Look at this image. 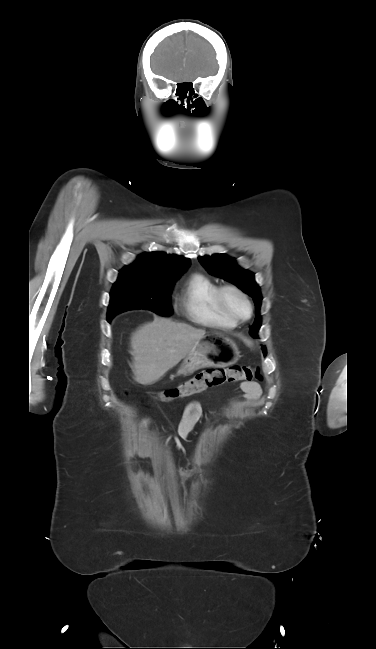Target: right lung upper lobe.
Listing matches in <instances>:
<instances>
[{"label": "right lung upper lobe", "mask_w": 376, "mask_h": 649, "mask_svg": "<svg viewBox=\"0 0 376 649\" xmlns=\"http://www.w3.org/2000/svg\"><path fill=\"white\" fill-rule=\"evenodd\" d=\"M190 265V259L177 255H168L164 252H149L138 256L132 264L135 268L148 275H165L185 272Z\"/></svg>", "instance_id": "cb5924a9"}]
</instances>
